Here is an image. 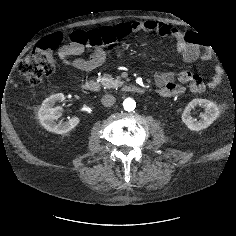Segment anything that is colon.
Returning a JSON list of instances; mask_svg holds the SVG:
<instances>
[{"mask_svg":"<svg viewBox=\"0 0 236 236\" xmlns=\"http://www.w3.org/2000/svg\"><path fill=\"white\" fill-rule=\"evenodd\" d=\"M130 32L128 24L102 27L90 31H76L70 34L73 42L88 49L107 50ZM63 36L54 33L44 38L19 64L21 77L31 86H40L44 78L50 76L56 67L53 51L60 45Z\"/></svg>","mask_w":236,"mask_h":236,"instance_id":"1","label":"colon"}]
</instances>
